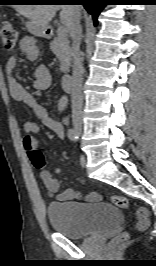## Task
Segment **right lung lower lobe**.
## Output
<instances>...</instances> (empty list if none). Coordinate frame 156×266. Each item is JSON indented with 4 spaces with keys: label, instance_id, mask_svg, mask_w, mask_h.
Listing matches in <instances>:
<instances>
[{
    "label": "right lung lower lobe",
    "instance_id": "1",
    "mask_svg": "<svg viewBox=\"0 0 156 266\" xmlns=\"http://www.w3.org/2000/svg\"><path fill=\"white\" fill-rule=\"evenodd\" d=\"M58 2H50V3H65V1H72L74 3H78L84 5L85 9L90 13L93 17L94 24L97 25V17L102 9L106 6L108 0H55Z\"/></svg>",
    "mask_w": 156,
    "mask_h": 266
}]
</instances>
